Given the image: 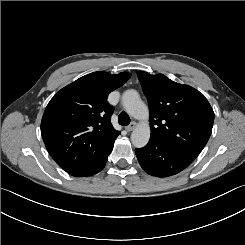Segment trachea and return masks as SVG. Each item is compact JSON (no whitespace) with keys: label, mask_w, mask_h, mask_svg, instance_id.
I'll use <instances>...</instances> for the list:
<instances>
[{"label":"trachea","mask_w":245,"mask_h":245,"mask_svg":"<svg viewBox=\"0 0 245 245\" xmlns=\"http://www.w3.org/2000/svg\"><path fill=\"white\" fill-rule=\"evenodd\" d=\"M118 122L120 125L126 126L130 123V117L126 112H121L118 117Z\"/></svg>","instance_id":"3493384b"}]
</instances>
